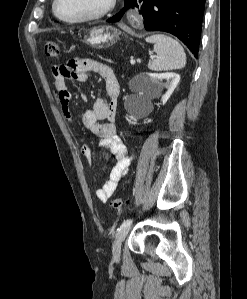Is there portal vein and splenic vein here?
I'll return each instance as SVG.
<instances>
[{"label":"portal vein and splenic vein","instance_id":"1","mask_svg":"<svg viewBox=\"0 0 247 299\" xmlns=\"http://www.w3.org/2000/svg\"><path fill=\"white\" fill-rule=\"evenodd\" d=\"M130 63H131L132 65H134V64L136 63V61H135L133 58H131Z\"/></svg>","mask_w":247,"mask_h":299}]
</instances>
